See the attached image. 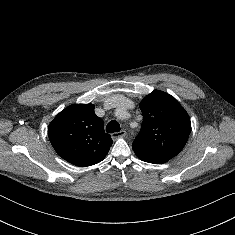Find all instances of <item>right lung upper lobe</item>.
I'll list each match as a JSON object with an SVG mask.
<instances>
[{"label":"right lung upper lobe","instance_id":"obj_1","mask_svg":"<svg viewBox=\"0 0 235 235\" xmlns=\"http://www.w3.org/2000/svg\"><path fill=\"white\" fill-rule=\"evenodd\" d=\"M48 136L60 157L80 167L102 161L113 143L92 104H74L64 109L49 124Z\"/></svg>","mask_w":235,"mask_h":235}]
</instances>
